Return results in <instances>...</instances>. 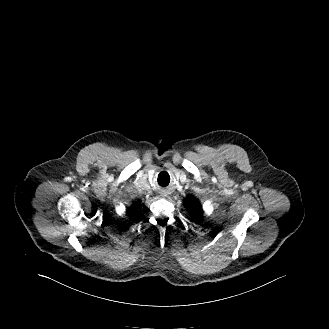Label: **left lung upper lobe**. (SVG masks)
Wrapping results in <instances>:
<instances>
[{"label":"left lung upper lobe","instance_id":"left-lung-upper-lobe-1","mask_svg":"<svg viewBox=\"0 0 329 329\" xmlns=\"http://www.w3.org/2000/svg\"><path fill=\"white\" fill-rule=\"evenodd\" d=\"M185 204L194 218H197L202 214V207L194 197L188 196L185 199Z\"/></svg>","mask_w":329,"mask_h":329}]
</instances>
